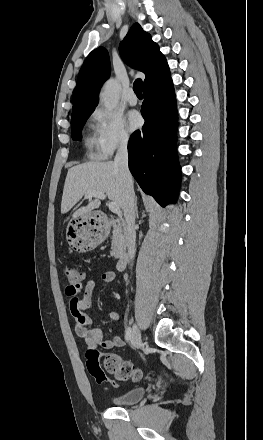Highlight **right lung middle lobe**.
<instances>
[{"label": "right lung middle lobe", "mask_w": 263, "mask_h": 440, "mask_svg": "<svg viewBox=\"0 0 263 440\" xmlns=\"http://www.w3.org/2000/svg\"><path fill=\"white\" fill-rule=\"evenodd\" d=\"M92 112L80 114L71 118V135L73 140H80L83 126Z\"/></svg>", "instance_id": "1"}]
</instances>
